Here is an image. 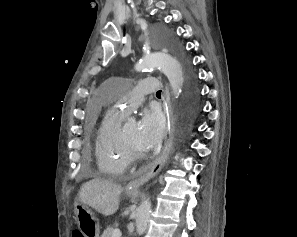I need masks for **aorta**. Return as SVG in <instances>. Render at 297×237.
<instances>
[{
	"label": "aorta",
	"mask_w": 297,
	"mask_h": 237,
	"mask_svg": "<svg viewBox=\"0 0 297 237\" xmlns=\"http://www.w3.org/2000/svg\"><path fill=\"white\" fill-rule=\"evenodd\" d=\"M172 49H174V42L165 39ZM160 69L168 78L172 87L173 94L179 96L184 84V75L180 62L172 55L165 52H156L143 57L139 63L135 65L136 71H143L148 69ZM151 216V201L145 198L139 205L136 211V232L139 236L143 235Z\"/></svg>",
	"instance_id": "762f6f07"
}]
</instances>
